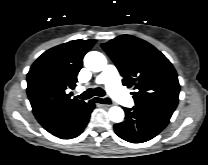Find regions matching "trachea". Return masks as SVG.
<instances>
[{"label":"trachea","instance_id":"obj_1","mask_svg":"<svg viewBox=\"0 0 208 165\" xmlns=\"http://www.w3.org/2000/svg\"><path fill=\"white\" fill-rule=\"evenodd\" d=\"M94 95L103 97V96H105V92L101 88H95V89L90 88V89L86 90L84 93L78 95L77 97L79 99L86 100V99L91 98Z\"/></svg>","mask_w":208,"mask_h":165}]
</instances>
